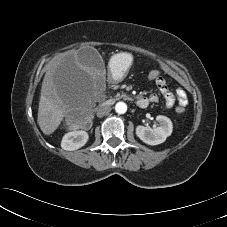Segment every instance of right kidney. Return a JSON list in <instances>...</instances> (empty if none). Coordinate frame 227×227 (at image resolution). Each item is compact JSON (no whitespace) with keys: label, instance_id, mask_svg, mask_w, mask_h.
Listing matches in <instances>:
<instances>
[{"label":"right kidney","instance_id":"right-kidney-1","mask_svg":"<svg viewBox=\"0 0 227 227\" xmlns=\"http://www.w3.org/2000/svg\"><path fill=\"white\" fill-rule=\"evenodd\" d=\"M89 139L86 131H72L65 134L61 141V147L64 150L73 151L84 146Z\"/></svg>","mask_w":227,"mask_h":227}]
</instances>
